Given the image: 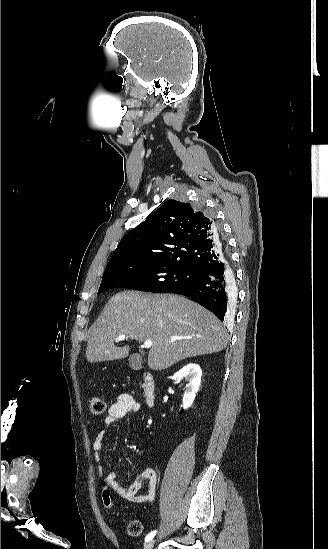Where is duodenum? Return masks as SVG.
I'll use <instances>...</instances> for the list:
<instances>
[{"label": "duodenum", "instance_id": "obj_1", "mask_svg": "<svg viewBox=\"0 0 328 549\" xmlns=\"http://www.w3.org/2000/svg\"><path fill=\"white\" fill-rule=\"evenodd\" d=\"M142 379L145 401L149 407H154L156 404V386L154 377L151 373L144 372Z\"/></svg>", "mask_w": 328, "mask_h": 549}]
</instances>
